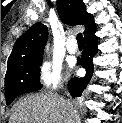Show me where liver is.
Instances as JSON below:
<instances>
[{
    "label": "liver",
    "mask_w": 122,
    "mask_h": 123,
    "mask_svg": "<svg viewBox=\"0 0 122 123\" xmlns=\"http://www.w3.org/2000/svg\"><path fill=\"white\" fill-rule=\"evenodd\" d=\"M79 115L66 100L52 92L26 96L15 105L9 123H79Z\"/></svg>",
    "instance_id": "6515ba94"
}]
</instances>
